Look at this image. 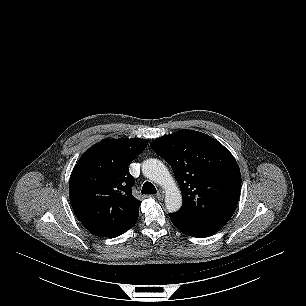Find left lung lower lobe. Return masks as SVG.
Segmentation results:
<instances>
[{
    "label": "left lung lower lobe",
    "mask_w": 306,
    "mask_h": 306,
    "mask_svg": "<svg viewBox=\"0 0 306 306\" xmlns=\"http://www.w3.org/2000/svg\"><path fill=\"white\" fill-rule=\"evenodd\" d=\"M170 219L177 229L193 237H208L215 234L220 228H222V226L218 224L203 223L190 220L181 216L177 212L171 213Z\"/></svg>",
    "instance_id": "obj_1"
}]
</instances>
